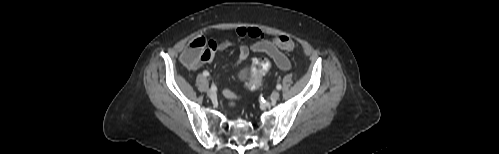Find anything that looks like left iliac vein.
<instances>
[{
	"instance_id": "obj_1",
	"label": "left iliac vein",
	"mask_w": 499,
	"mask_h": 154,
	"mask_svg": "<svg viewBox=\"0 0 499 154\" xmlns=\"http://www.w3.org/2000/svg\"><path fill=\"white\" fill-rule=\"evenodd\" d=\"M279 97H280V93L278 91H273L271 96H270V99L272 101H276L279 99Z\"/></svg>"
}]
</instances>
